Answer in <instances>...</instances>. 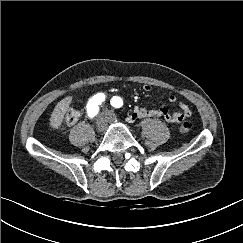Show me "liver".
Here are the masks:
<instances>
[{"mask_svg":"<svg viewBox=\"0 0 243 243\" xmlns=\"http://www.w3.org/2000/svg\"><path fill=\"white\" fill-rule=\"evenodd\" d=\"M71 101L72 97L68 96L57 103L50 117V126H52L55 129L60 127Z\"/></svg>","mask_w":243,"mask_h":243,"instance_id":"obj_1","label":"liver"}]
</instances>
